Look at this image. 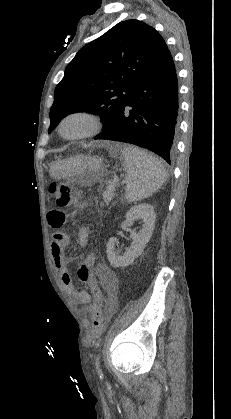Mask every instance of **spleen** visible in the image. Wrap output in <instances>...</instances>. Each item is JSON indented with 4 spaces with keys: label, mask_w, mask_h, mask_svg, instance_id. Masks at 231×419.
<instances>
[{
    "label": "spleen",
    "mask_w": 231,
    "mask_h": 419,
    "mask_svg": "<svg viewBox=\"0 0 231 419\" xmlns=\"http://www.w3.org/2000/svg\"><path fill=\"white\" fill-rule=\"evenodd\" d=\"M125 198L127 202L141 201L155 193L167 180L162 163L145 150L125 146Z\"/></svg>",
    "instance_id": "3e777b00"
}]
</instances>
